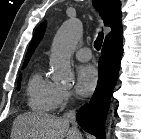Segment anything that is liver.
Wrapping results in <instances>:
<instances>
[{"mask_svg":"<svg viewBox=\"0 0 141 139\" xmlns=\"http://www.w3.org/2000/svg\"><path fill=\"white\" fill-rule=\"evenodd\" d=\"M11 139H82V134L78 136L63 117L28 112L15 118Z\"/></svg>","mask_w":141,"mask_h":139,"instance_id":"1","label":"liver"}]
</instances>
